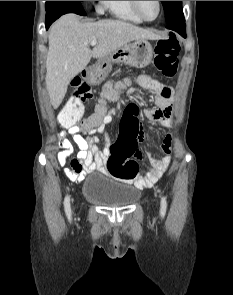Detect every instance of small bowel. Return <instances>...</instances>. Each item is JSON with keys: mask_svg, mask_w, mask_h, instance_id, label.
<instances>
[{"mask_svg": "<svg viewBox=\"0 0 233 295\" xmlns=\"http://www.w3.org/2000/svg\"><path fill=\"white\" fill-rule=\"evenodd\" d=\"M154 108L144 111L146 118L152 123H160L165 126L171 124L172 115V98H163L159 95L154 97ZM136 118L138 116V108L130 105L127 109ZM115 115V110L110 109L103 115L102 121L96 128L85 130L83 126H69L66 132L60 135L57 147L62 151L58 154L57 159L60 165H64L67 159H70L69 168L64 169V174L70 180L80 183L85 176L92 172L108 173L107 163L111 155V147L109 139L106 137V145L101 150L98 146L99 138L97 134H103L105 127L111 123ZM80 132L87 133V137H83ZM70 136L72 141L67 138ZM74 145L79 149L76 157L72 158ZM165 156L162 159L150 157V168L144 175H137L129 180L137 188L143 189L152 187L167 171L171 160V138L167 137L162 146Z\"/></svg>", "mask_w": 233, "mask_h": 295, "instance_id": "1", "label": "small bowel"}]
</instances>
